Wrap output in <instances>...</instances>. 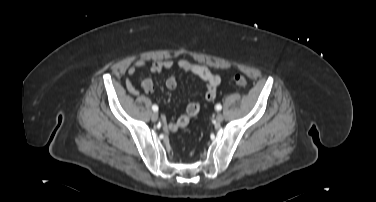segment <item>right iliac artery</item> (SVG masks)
Returning a JSON list of instances; mask_svg holds the SVG:
<instances>
[{
	"instance_id": "right-iliac-artery-1",
	"label": "right iliac artery",
	"mask_w": 376,
	"mask_h": 202,
	"mask_svg": "<svg viewBox=\"0 0 376 202\" xmlns=\"http://www.w3.org/2000/svg\"><path fill=\"white\" fill-rule=\"evenodd\" d=\"M152 110H153L154 112H157V111H158V106H157V105H153V106H152Z\"/></svg>"
}]
</instances>
